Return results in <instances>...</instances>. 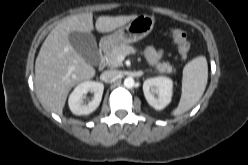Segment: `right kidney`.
<instances>
[{"mask_svg": "<svg viewBox=\"0 0 248 165\" xmlns=\"http://www.w3.org/2000/svg\"><path fill=\"white\" fill-rule=\"evenodd\" d=\"M104 85L101 82L84 81L77 85L69 96L68 104L71 112L75 115H88L95 111L102 99ZM93 92V98L87 104H84L83 97Z\"/></svg>", "mask_w": 248, "mask_h": 165, "instance_id": "obj_1", "label": "right kidney"}]
</instances>
